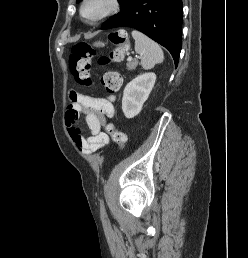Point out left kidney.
<instances>
[{"label":"left kidney","instance_id":"left-kidney-1","mask_svg":"<svg viewBox=\"0 0 248 258\" xmlns=\"http://www.w3.org/2000/svg\"><path fill=\"white\" fill-rule=\"evenodd\" d=\"M155 81V73L150 72L138 75L126 85L122 98V111L126 118H133L140 113Z\"/></svg>","mask_w":248,"mask_h":258}]
</instances>
